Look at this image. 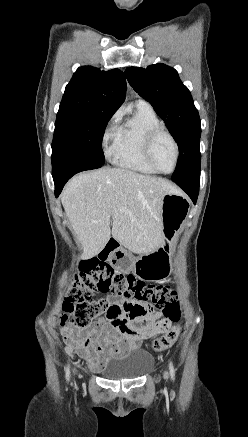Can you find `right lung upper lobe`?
Returning a JSON list of instances; mask_svg holds the SVG:
<instances>
[{"label": "right lung upper lobe", "mask_w": 248, "mask_h": 437, "mask_svg": "<svg viewBox=\"0 0 248 437\" xmlns=\"http://www.w3.org/2000/svg\"><path fill=\"white\" fill-rule=\"evenodd\" d=\"M125 94L126 80L122 71L83 66L66 86L59 109L112 116L123 103Z\"/></svg>", "instance_id": "cb5924a9"}]
</instances>
